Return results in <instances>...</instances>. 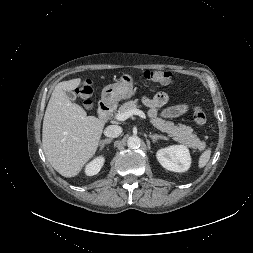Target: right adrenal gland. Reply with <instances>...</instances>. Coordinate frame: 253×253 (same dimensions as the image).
Returning <instances> with one entry per match:
<instances>
[{
    "label": "right adrenal gland",
    "instance_id": "2a0ac1e0",
    "mask_svg": "<svg viewBox=\"0 0 253 253\" xmlns=\"http://www.w3.org/2000/svg\"><path fill=\"white\" fill-rule=\"evenodd\" d=\"M112 142V139L110 138V139H105V140H102L101 142H100V151L104 148V146L106 145V144H110Z\"/></svg>",
    "mask_w": 253,
    "mask_h": 253
}]
</instances>
